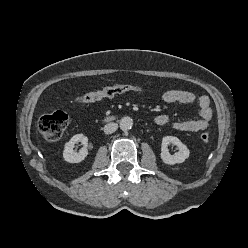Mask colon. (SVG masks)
Returning <instances> with one entry per match:
<instances>
[{"mask_svg":"<svg viewBox=\"0 0 248 248\" xmlns=\"http://www.w3.org/2000/svg\"><path fill=\"white\" fill-rule=\"evenodd\" d=\"M139 89L137 85L129 83L113 84L83 93L76 100L81 103H95L114 98L126 92L139 91ZM67 124V115L64 112L57 111L41 116L38 121V129L45 140L56 141L63 135ZM200 138L203 142H208L209 134L203 132Z\"/></svg>","mask_w":248,"mask_h":248,"instance_id":"colon-1","label":"colon"}]
</instances>
